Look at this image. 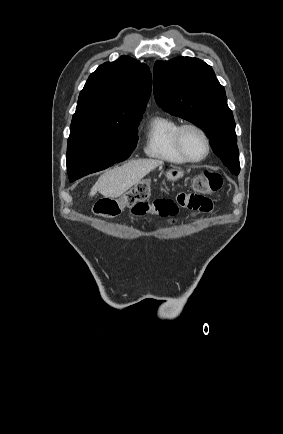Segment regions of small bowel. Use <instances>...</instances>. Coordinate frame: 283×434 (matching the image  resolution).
I'll list each match as a JSON object with an SVG mask.
<instances>
[{"mask_svg": "<svg viewBox=\"0 0 283 434\" xmlns=\"http://www.w3.org/2000/svg\"><path fill=\"white\" fill-rule=\"evenodd\" d=\"M212 206L211 200L200 192H181L175 199L158 198L152 202H140L131 207V212L137 217L148 214L161 217H174L180 207L187 208L194 213H206L211 211Z\"/></svg>", "mask_w": 283, "mask_h": 434, "instance_id": "c3829d8e", "label": "small bowel"}]
</instances>
